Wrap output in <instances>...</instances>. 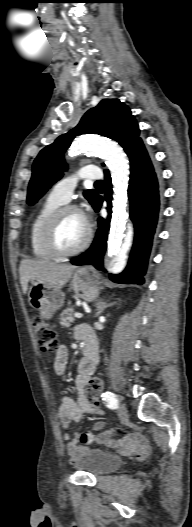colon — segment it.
Returning <instances> with one entry per match:
<instances>
[{
  "mask_svg": "<svg viewBox=\"0 0 192 527\" xmlns=\"http://www.w3.org/2000/svg\"><path fill=\"white\" fill-rule=\"evenodd\" d=\"M34 334L40 349L44 352H52L58 346V339L55 330L43 320L36 318L33 324ZM102 388V381L95 379L88 390V399L95 407H98L99 393Z\"/></svg>",
  "mask_w": 192,
  "mask_h": 527,
  "instance_id": "5ec220e1",
  "label": "colon"
}]
</instances>
